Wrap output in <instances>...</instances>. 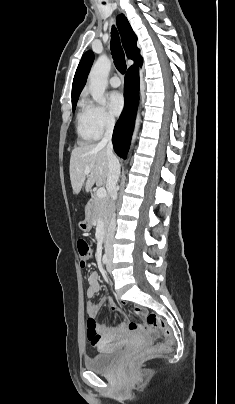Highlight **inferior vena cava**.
Returning <instances> with one entry per match:
<instances>
[{"mask_svg":"<svg viewBox=\"0 0 235 404\" xmlns=\"http://www.w3.org/2000/svg\"><path fill=\"white\" fill-rule=\"evenodd\" d=\"M115 125L114 118L108 117L105 121V134L100 144L106 145L107 159H108V173L106 187L113 201L117 199L116 185L120 176V164L118 159L113 153L112 134ZM116 230V214L113 213L110 219L108 232L105 239V252L108 254L113 253V240Z\"/></svg>","mask_w":235,"mask_h":404,"instance_id":"inferior-vena-cava-1","label":"inferior vena cava"}]
</instances>
